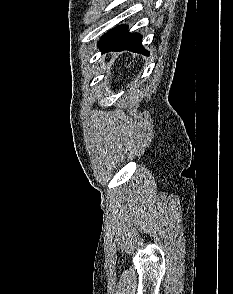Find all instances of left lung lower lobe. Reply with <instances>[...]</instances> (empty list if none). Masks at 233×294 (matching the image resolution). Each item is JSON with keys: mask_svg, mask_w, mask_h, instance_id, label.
I'll return each mask as SVG.
<instances>
[{"mask_svg": "<svg viewBox=\"0 0 233 294\" xmlns=\"http://www.w3.org/2000/svg\"><path fill=\"white\" fill-rule=\"evenodd\" d=\"M142 36L138 33L127 32V26L121 25L113 28L100 39L98 47L102 52L129 50L144 55L149 51L141 44Z\"/></svg>", "mask_w": 233, "mask_h": 294, "instance_id": "0a47b994", "label": "left lung lower lobe"}]
</instances>
